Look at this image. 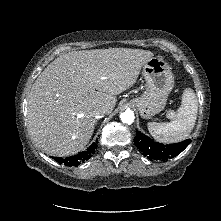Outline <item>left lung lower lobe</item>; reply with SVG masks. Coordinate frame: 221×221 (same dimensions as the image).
Returning <instances> with one entry per match:
<instances>
[{
	"label": "left lung lower lobe",
	"instance_id": "obj_1",
	"mask_svg": "<svg viewBox=\"0 0 221 221\" xmlns=\"http://www.w3.org/2000/svg\"><path fill=\"white\" fill-rule=\"evenodd\" d=\"M190 143L191 140L187 139L180 143L164 145L154 142L140 131H137V135L134 138V144L136 147L150 160L165 161L171 159L181 153Z\"/></svg>",
	"mask_w": 221,
	"mask_h": 221
}]
</instances>
